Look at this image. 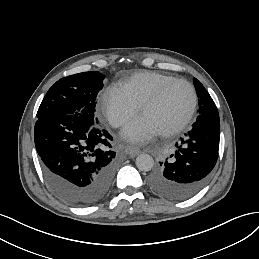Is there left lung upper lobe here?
Segmentation results:
<instances>
[{
	"label": "left lung upper lobe",
	"mask_w": 259,
	"mask_h": 259,
	"mask_svg": "<svg viewBox=\"0 0 259 259\" xmlns=\"http://www.w3.org/2000/svg\"><path fill=\"white\" fill-rule=\"evenodd\" d=\"M194 85L197 91V95L199 97V115L217 111V107L213 99L204 88V86L201 84V82L196 78H194Z\"/></svg>",
	"instance_id": "5c2ea615"
}]
</instances>
